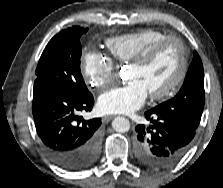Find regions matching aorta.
Masks as SVG:
<instances>
[{"label":"aorta","instance_id":"obj_1","mask_svg":"<svg viewBox=\"0 0 223 188\" xmlns=\"http://www.w3.org/2000/svg\"><path fill=\"white\" fill-rule=\"evenodd\" d=\"M112 127L117 132H127L130 129V122L125 117H116L112 121Z\"/></svg>","mask_w":223,"mask_h":188}]
</instances>
